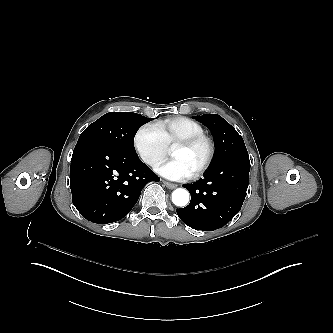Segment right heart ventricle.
Listing matches in <instances>:
<instances>
[{"label":"right heart ventricle","mask_w":333,"mask_h":333,"mask_svg":"<svg viewBox=\"0 0 333 333\" xmlns=\"http://www.w3.org/2000/svg\"><path fill=\"white\" fill-rule=\"evenodd\" d=\"M158 127L168 148L186 138L204 135L199 123L183 116L170 117L160 122Z\"/></svg>","instance_id":"obj_1"}]
</instances>
